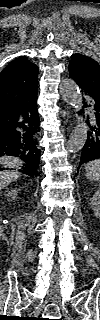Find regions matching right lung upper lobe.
<instances>
[{
  "label": "right lung upper lobe",
  "mask_w": 100,
  "mask_h": 320,
  "mask_svg": "<svg viewBox=\"0 0 100 320\" xmlns=\"http://www.w3.org/2000/svg\"><path fill=\"white\" fill-rule=\"evenodd\" d=\"M38 67L26 57L12 61L0 74V107L26 99L37 91Z\"/></svg>",
  "instance_id": "obj_1"
}]
</instances>
